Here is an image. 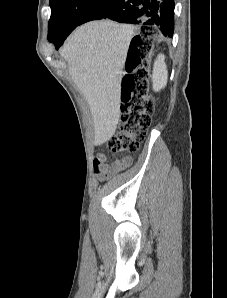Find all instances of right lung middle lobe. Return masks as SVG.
<instances>
[{"label":"right lung middle lobe","mask_w":227,"mask_h":298,"mask_svg":"<svg viewBox=\"0 0 227 298\" xmlns=\"http://www.w3.org/2000/svg\"><path fill=\"white\" fill-rule=\"evenodd\" d=\"M102 0H50L51 17L48 38L72 31Z\"/></svg>","instance_id":"right-lung-middle-lobe-1"}]
</instances>
